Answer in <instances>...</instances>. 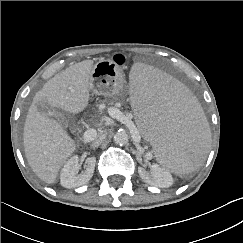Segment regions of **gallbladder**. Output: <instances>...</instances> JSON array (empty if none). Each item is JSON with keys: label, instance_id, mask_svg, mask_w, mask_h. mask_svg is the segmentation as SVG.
<instances>
[{"label": "gallbladder", "instance_id": "obj_1", "mask_svg": "<svg viewBox=\"0 0 243 243\" xmlns=\"http://www.w3.org/2000/svg\"><path fill=\"white\" fill-rule=\"evenodd\" d=\"M39 112L46 114L52 120H58V122L63 126L67 127V116L65 113L59 112L56 108L52 107L51 104L38 103L36 105Z\"/></svg>", "mask_w": 243, "mask_h": 243}]
</instances>
